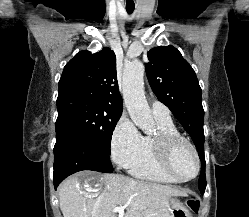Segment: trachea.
I'll use <instances>...</instances> for the list:
<instances>
[{"label":"trachea","instance_id":"1","mask_svg":"<svg viewBox=\"0 0 249 217\" xmlns=\"http://www.w3.org/2000/svg\"><path fill=\"white\" fill-rule=\"evenodd\" d=\"M135 6H126V11L128 14H131L134 11Z\"/></svg>","mask_w":249,"mask_h":217}]
</instances>
